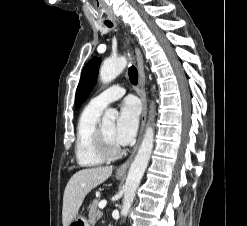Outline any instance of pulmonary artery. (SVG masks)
<instances>
[{"instance_id": "pulmonary-artery-1", "label": "pulmonary artery", "mask_w": 247, "mask_h": 226, "mask_svg": "<svg viewBox=\"0 0 247 226\" xmlns=\"http://www.w3.org/2000/svg\"><path fill=\"white\" fill-rule=\"evenodd\" d=\"M125 92L122 85L114 84L92 98L89 105L102 111L108 104L121 98Z\"/></svg>"}]
</instances>
